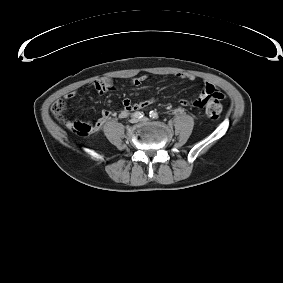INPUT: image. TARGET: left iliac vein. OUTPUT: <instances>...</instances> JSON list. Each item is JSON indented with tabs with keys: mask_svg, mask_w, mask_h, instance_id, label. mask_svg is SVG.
Wrapping results in <instances>:
<instances>
[{
	"mask_svg": "<svg viewBox=\"0 0 283 283\" xmlns=\"http://www.w3.org/2000/svg\"><path fill=\"white\" fill-rule=\"evenodd\" d=\"M149 119L147 117H143L140 121L147 122Z\"/></svg>",
	"mask_w": 283,
	"mask_h": 283,
	"instance_id": "obj_1",
	"label": "left iliac vein"
}]
</instances>
